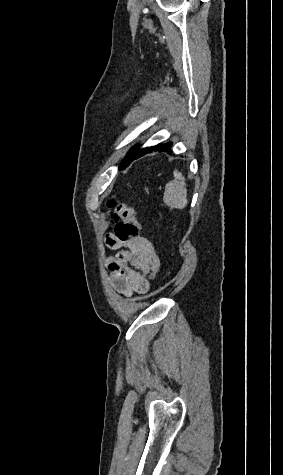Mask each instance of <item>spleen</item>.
<instances>
[{
    "mask_svg": "<svg viewBox=\"0 0 283 475\" xmlns=\"http://www.w3.org/2000/svg\"><path fill=\"white\" fill-rule=\"evenodd\" d=\"M163 200L169 208L183 210L187 206L186 180L178 170L174 172V180L166 184Z\"/></svg>",
    "mask_w": 283,
    "mask_h": 475,
    "instance_id": "3e777b00",
    "label": "spleen"
}]
</instances>
